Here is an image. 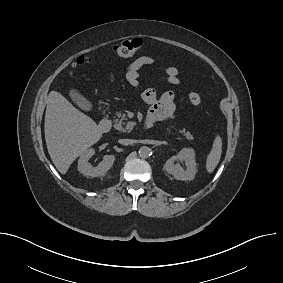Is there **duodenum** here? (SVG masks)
Returning <instances> with one entry per match:
<instances>
[{
	"label": "duodenum",
	"instance_id": "410a0bca",
	"mask_svg": "<svg viewBox=\"0 0 283 283\" xmlns=\"http://www.w3.org/2000/svg\"><path fill=\"white\" fill-rule=\"evenodd\" d=\"M151 123L149 121L146 122V126H149ZM98 129L102 133H107L111 129V120L109 117L104 114L101 120L98 123Z\"/></svg>",
	"mask_w": 283,
	"mask_h": 283
}]
</instances>
